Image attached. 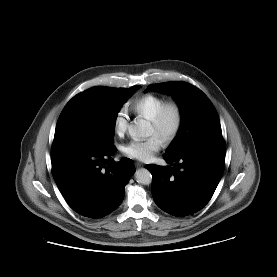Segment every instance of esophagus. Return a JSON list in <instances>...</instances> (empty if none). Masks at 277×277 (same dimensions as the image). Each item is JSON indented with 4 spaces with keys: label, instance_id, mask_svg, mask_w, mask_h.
Listing matches in <instances>:
<instances>
[{
    "label": "esophagus",
    "instance_id": "1",
    "mask_svg": "<svg viewBox=\"0 0 277 277\" xmlns=\"http://www.w3.org/2000/svg\"><path fill=\"white\" fill-rule=\"evenodd\" d=\"M136 166L140 168V167H143L144 165L142 163H140V162H137Z\"/></svg>",
    "mask_w": 277,
    "mask_h": 277
}]
</instances>
